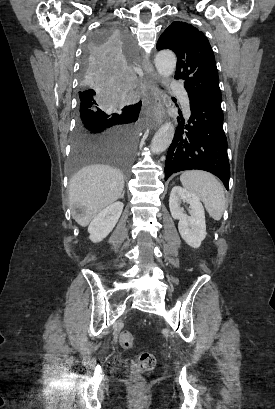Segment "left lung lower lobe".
I'll return each instance as SVG.
<instances>
[{
	"instance_id": "0a47b994",
	"label": "left lung lower lobe",
	"mask_w": 275,
	"mask_h": 409,
	"mask_svg": "<svg viewBox=\"0 0 275 409\" xmlns=\"http://www.w3.org/2000/svg\"><path fill=\"white\" fill-rule=\"evenodd\" d=\"M188 96L189 125L184 131L179 122L166 157L165 180L179 171L200 169L219 177L228 190L230 166L221 102L195 94Z\"/></svg>"
}]
</instances>
